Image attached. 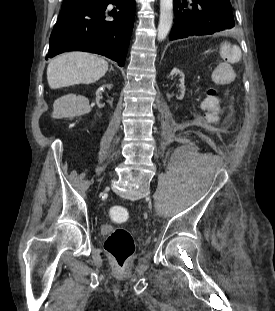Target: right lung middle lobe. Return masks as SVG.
<instances>
[{"label":"right lung middle lobe","instance_id":"dd1d6c3e","mask_svg":"<svg viewBox=\"0 0 275 311\" xmlns=\"http://www.w3.org/2000/svg\"><path fill=\"white\" fill-rule=\"evenodd\" d=\"M88 0H76V1H73V2H63V8H67L69 6H72V5H75V4H79V3H83V2H86Z\"/></svg>","mask_w":275,"mask_h":311}]
</instances>
